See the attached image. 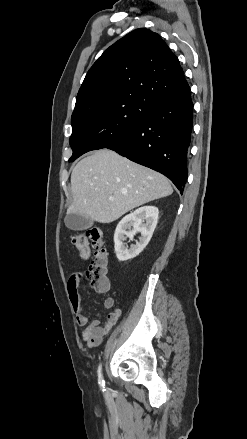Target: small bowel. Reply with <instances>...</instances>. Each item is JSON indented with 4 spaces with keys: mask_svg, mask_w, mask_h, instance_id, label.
Wrapping results in <instances>:
<instances>
[{
    "mask_svg": "<svg viewBox=\"0 0 247 439\" xmlns=\"http://www.w3.org/2000/svg\"><path fill=\"white\" fill-rule=\"evenodd\" d=\"M83 276V273L80 271H75L70 275L67 284L69 300L75 314L77 325L85 327L82 332V340L89 347H96L101 344L104 336L115 326L121 315V311L117 308H113L114 299L107 297L104 300L103 306L106 310L111 311L107 314L105 321L101 324L98 316V318L89 322L87 315L84 313L79 294Z\"/></svg>",
    "mask_w": 247,
    "mask_h": 439,
    "instance_id": "small-bowel-1",
    "label": "small bowel"
}]
</instances>
